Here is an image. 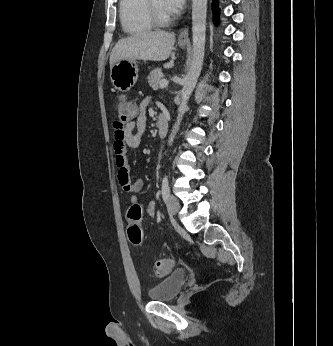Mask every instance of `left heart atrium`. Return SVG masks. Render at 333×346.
Wrapping results in <instances>:
<instances>
[{
    "instance_id": "1",
    "label": "left heart atrium",
    "mask_w": 333,
    "mask_h": 346,
    "mask_svg": "<svg viewBox=\"0 0 333 346\" xmlns=\"http://www.w3.org/2000/svg\"><path fill=\"white\" fill-rule=\"evenodd\" d=\"M162 4L168 14H175L182 9L185 0H162Z\"/></svg>"
}]
</instances>
